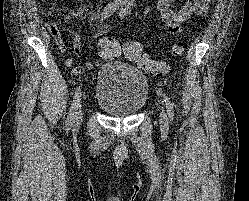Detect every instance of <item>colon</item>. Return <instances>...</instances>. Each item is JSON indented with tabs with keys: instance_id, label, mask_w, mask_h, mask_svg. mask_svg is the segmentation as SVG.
Wrapping results in <instances>:
<instances>
[{
	"instance_id": "1",
	"label": "colon",
	"mask_w": 249,
	"mask_h": 201,
	"mask_svg": "<svg viewBox=\"0 0 249 201\" xmlns=\"http://www.w3.org/2000/svg\"><path fill=\"white\" fill-rule=\"evenodd\" d=\"M99 52L105 60L115 59L123 52L126 59L153 76H163L168 71L166 62L152 59L136 41L120 44L114 38L105 37L99 41ZM171 53L175 57L182 56L184 44L181 42L175 43L172 46Z\"/></svg>"
}]
</instances>
